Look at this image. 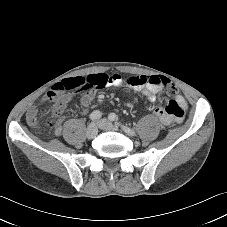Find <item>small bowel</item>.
<instances>
[{"instance_id": "c3829d8e", "label": "small bowel", "mask_w": 227, "mask_h": 227, "mask_svg": "<svg viewBox=\"0 0 227 227\" xmlns=\"http://www.w3.org/2000/svg\"><path fill=\"white\" fill-rule=\"evenodd\" d=\"M152 76H108L105 72L98 74H89L85 76L72 77L53 84L46 92V95L33 105L26 113V120L32 127L38 126L37 113L39 105L45 101L55 103L54 112L59 119L66 104L70 101L72 95L82 94L81 96V113L85 114L94 100L95 90H102L110 86L132 87L141 92L150 103L156 101L157 93L162 89V85L144 84L143 80ZM187 109V102L181 95H174L166 107L157 105L155 114L164 124L172 121H179L183 118Z\"/></svg>"}]
</instances>
